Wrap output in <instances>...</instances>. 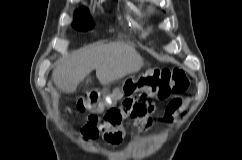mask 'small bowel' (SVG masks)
Here are the masks:
<instances>
[{"mask_svg": "<svg viewBox=\"0 0 242 160\" xmlns=\"http://www.w3.org/2000/svg\"><path fill=\"white\" fill-rule=\"evenodd\" d=\"M120 109L123 111V107H120ZM175 111L176 110L167 111L168 118H171L172 115L175 113ZM134 119H135V124L139 127H147L150 124L148 117L134 118ZM124 134H125L124 128L119 123L113 127H110L107 131H105L103 133V139L109 144L117 145L122 141Z\"/></svg>", "mask_w": 242, "mask_h": 160, "instance_id": "1", "label": "small bowel"}]
</instances>
